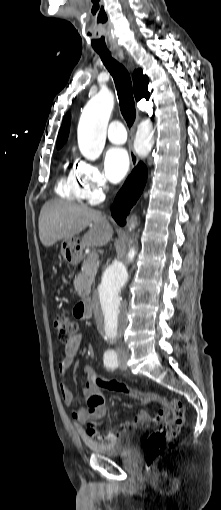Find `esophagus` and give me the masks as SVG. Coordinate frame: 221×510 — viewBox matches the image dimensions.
I'll return each mask as SVG.
<instances>
[{
	"instance_id": "1",
	"label": "esophagus",
	"mask_w": 221,
	"mask_h": 510,
	"mask_svg": "<svg viewBox=\"0 0 221 510\" xmlns=\"http://www.w3.org/2000/svg\"><path fill=\"white\" fill-rule=\"evenodd\" d=\"M129 153H130L131 166H132V168H135L138 164V158H137V155H136L132 146L130 147Z\"/></svg>"
}]
</instances>
